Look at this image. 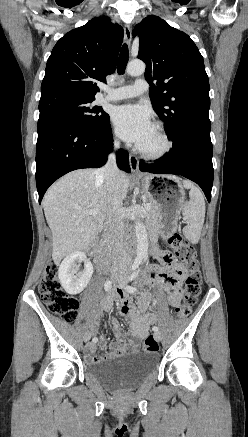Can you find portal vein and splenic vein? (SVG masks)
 Wrapping results in <instances>:
<instances>
[{
    "label": "portal vein and splenic vein",
    "mask_w": 248,
    "mask_h": 437,
    "mask_svg": "<svg viewBox=\"0 0 248 437\" xmlns=\"http://www.w3.org/2000/svg\"><path fill=\"white\" fill-rule=\"evenodd\" d=\"M150 207H151L150 204L145 205L146 210H148ZM85 213L95 217L98 214V210H90V211L85 212Z\"/></svg>",
    "instance_id": "1"
}]
</instances>
